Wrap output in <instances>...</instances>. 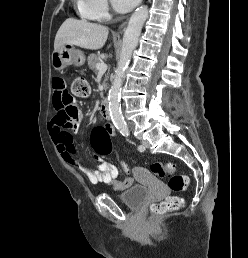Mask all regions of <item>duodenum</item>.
<instances>
[{
	"label": "duodenum",
	"mask_w": 248,
	"mask_h": 258,
	"mask_svg": "<svg viewBox=\"0 0 248 258\" xmlns=\"http://www.w3.org/2000/svg\"><path fill=\"white\" fill-rule=\"evenodd\" d=\"M101 113L105 119L110 120L109 102L107 99L103 100Z\"/></svg>",
	"instance_id": "410a0bca"
}]
</instances>
